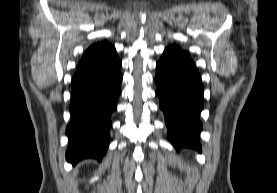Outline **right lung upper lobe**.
<instances>
[{
  "label": "right lung upper lobe",
  "mask_w": 277,
  "mask_h": 193,
  "mask_svg": "<svg viewBox=\"0 0 277 193\" xmlns=\"http://www.w3.org/2000/svg\"><path fill=\"white\" fill-rule=\"evenodd\" d=\"M111 49H113V46L109 44L107 41L93 44L85 51L80 61V64L95 60L106 54Z\"/></svg>",
  "instance_id": "right-lung-upper-lobe-1"
}]
</instances>
